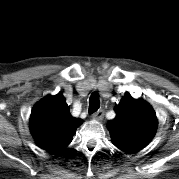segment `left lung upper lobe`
I'll return each mask as SVG.
<instances>
[{
  "label": "left lung upper lobe",
  "mask_w": 179,
  "mask_h": 179,
  "mask_svg": "<svg viewBox=\"0 0 179 179\" xmlns=\"http://www.w3.org/2000/svg\"><path fill=\"white\" fill-rule=\"evenodd\" d=\"M115 112L116 117L107 124L114 145L128 152L146 147L158 124L153 108L146 101L127 94L116 105Z\"/></svg>",
  "instance_id": "1"
}]
</instances>
